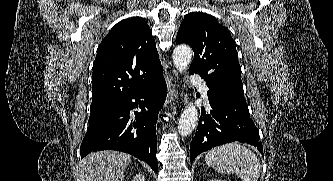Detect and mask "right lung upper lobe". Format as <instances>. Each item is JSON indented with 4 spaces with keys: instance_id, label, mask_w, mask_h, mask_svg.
<instances>
[{
    "instance_id": "1",
    "label": "right lung upper lobe",
    "mask_w": 333,
    "mask_h": 181,
    "mask_svg": "<svg viewBox=\"0 0 333 181\" xmlns=\"http://www.w3.org/2000/svg\"><path fill=\"white\" fill-rule=\"evenodd\" d=\"M162 77L163 67L148 24L140 17L122 20L98 47L90 110H102Z\"/></svg>"
}]
</instances>
